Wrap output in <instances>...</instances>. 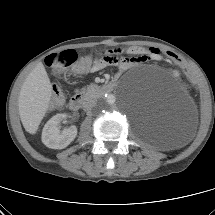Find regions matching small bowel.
<instances>
[{"instance_id": "obj_1", "label": "small bowel", "mask_w": 215, "mask_h": 215, "mask_svg": "<svg viewBox=\"0 0 215 215\" xmlns=\"http://www.w3.org/2000/svg\"><path fill=\"white\" fill-rule=\"evenodd\" d=\"M134 55L130 58H118L122 53ZM164 57L163 51L157 47L132 46L126 49L116 48L106 51L92 60L91 71H99L107 66L115 65L118 70L126 71L138 64L148 61H160Z\"/></svg>"}]
</instances>
